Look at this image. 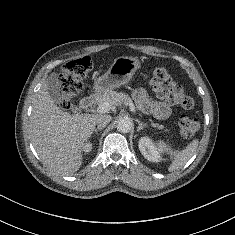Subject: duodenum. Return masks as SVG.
<instances>
[{"label":"duodenum","instance_id":"duodenum-1","mask_svg":"<svg viewBox=\"0 0 235 235\" xmlns=\"http://www.w3.org/2000/svg\"><path fill=\"white\" fill-rule=\"evenodd\" d=\"M95 101H96L95 94H89L80 101V108L83 110H87L95 104Z\"/></svg>","mask_w":235,"mask_h":235}]
</instances>
